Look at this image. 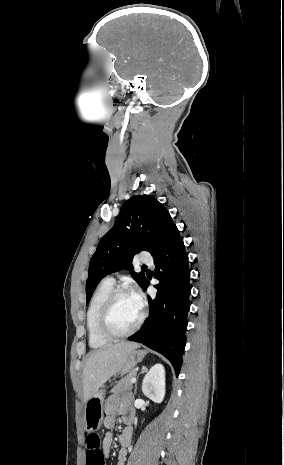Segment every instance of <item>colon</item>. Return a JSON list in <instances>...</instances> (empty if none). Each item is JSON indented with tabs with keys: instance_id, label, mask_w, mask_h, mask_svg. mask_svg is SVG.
Here are the masks:
<instances>
[{
	"instance_id": "obj_1",
	"label": "colon",
	"mask_w": 284,
	"mask_h": 465,
	"mask_svg": "<svg viewBox=\"0 0 284 465\" xmlns=\"http://www.w3.org/2000/svg\"><path fill=\"white\" fill-rule=\"evenodd\" d=\"M87 442L92 446H86L85 453L87 458V465H104L103 452L99 448V438L94 435L87 437Z\"/></svg>"
}]
</instances>
